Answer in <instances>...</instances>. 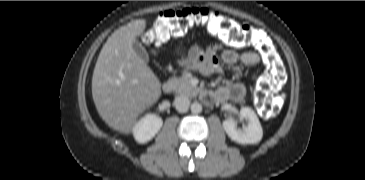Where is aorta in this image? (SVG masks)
Returning a JSON list of instances; mask_svg holds the SVG:
<instances>
[{
	"label": "aorta",
	"instance_id": "aorta-1",
	"mask_svg": "<svg viewBox=\"0 0 365 180\" xmlns=\"http://www.w3.org/2000/svg\"><path fill=\"white\" fill-rule=\"evenodd\" d=\"M191 112L194 114H199L202 112V105L198 102H194L191 105Z\"/></svg>",
	"mask_w": 365,
	"mask_h": 180
}]
</instances>
